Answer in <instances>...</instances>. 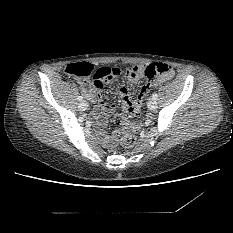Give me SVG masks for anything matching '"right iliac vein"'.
<instances>
[{"instance_id":"1","label":"right iliac vein","mask_w":233,"mask_h":233,"mask_svg":"<svg viewBox=\"0 0 233 233\" xmlns=\"http://www.w3.org/2000/svg\"><path fill=\"white\" fill-rule=\"evenodd\" d=\"M79 109L80 110H83V111H85V110H87L88 109V103L86 102V101H81L80 103H79Z\"/></svg>"}]
</instances>
